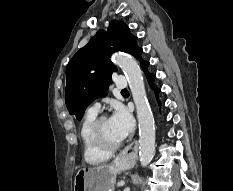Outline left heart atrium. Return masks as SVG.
Segmentation results:
<instances>
[{
	"instance_id": "obj_1",
	"label": "left heart atrium",
	"mask_w": 233,
	"mask_h": 191,
	"mask_svg": "<svg viewBox=\"0 0 233 191\" xmlns=\"http://www.w3.org/2000/svg\"><path fill=\"white\" fill-rule=\"evenodd\" d=\"M109 120L120 140L125 139L134 126L131 115L122 107H118Z\"/></svg>"
}]
</instances>
